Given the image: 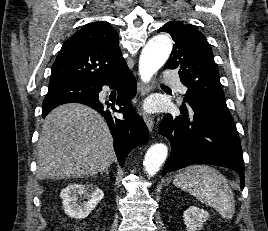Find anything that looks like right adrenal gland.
I'll list each match as a JSON object with an SVG mask.
<instances>
[{
    "instance_id": "2a0ac1e0",
    "label": "right adrenal gland",
    "mask_w": 268,
    "mask_h": 231,
    "mask_svg": "<svg viewBox=\"0 0 268 231\" xmlns=\"http://www.w3.org/2000/svg\"><path fill=\"white\" fill-rule=\"evenodd\" d=\"M104 172H105L107 175L109 174L108 169H106Z\"/></svg>"
}]
</instances>
